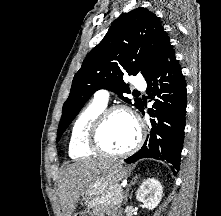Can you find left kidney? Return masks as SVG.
I'll return each instance as SVG.
<instances>
[{
	"label": "left kidney",
	"instance_id": "5707ae66",
	"mask_svg": "<svg viewBox=\"0 0 221 216\" xmlns=\"http://www.w3.org/2000/svg\"><path fill=\"white\" fill-rule=\"evenodd\" d=\"M163 187L155 178H148L140 185L136 192V199L143 203L144 207L153 210L162 199Z\"/></svg>",
	"mask_w": 221,
	"mask_h": 216
}]
</instances>
